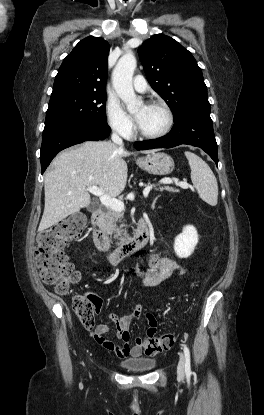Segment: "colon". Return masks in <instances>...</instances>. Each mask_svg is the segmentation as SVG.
Masks as SVG:
<instances>
[{
	"instance_id": "obj_1",
	"label": "colon",
	"mask_w": 264,
	"mask_h": 415,
	"mask_svg": "<svg viewBox=\"0 0 264 415\" xmlns=\"http://www.w3.org/2000/svg\"><path fill=\"white\" fill-rule=\"evenodd\" d=\"M85 222V217L77 213L37 235L36 265L43 282L54 285L58 294H66L80 278V272L69 262L63 249L68 242L81 236ZM72 305L82 325L91 328L99 311L98 299L90 293H79L73 297ZM142 341L147 355H159L173 345L174 338L148 334Z\"/></svg>"
}]
</instances>
